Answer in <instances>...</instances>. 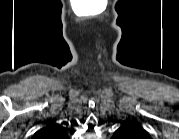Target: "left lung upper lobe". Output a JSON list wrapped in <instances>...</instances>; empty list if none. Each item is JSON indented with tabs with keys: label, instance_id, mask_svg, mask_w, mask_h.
I'll list each match as a JSON object with an SVG mask.
<instances>
[{
	"label": "left lung upper lobe",
	"instance_id": "5c2ea615",
	"mask_svg": "<svg viewBox=\"0 0 179 139\" xmlns=\"http://www.w3.org/2000/svg\"><path fill=\"white\" fill-rule=\"evenodd\" d=\"M121 132H125L127 134H130V135H141V136H147L148 137V134L147 132L140 126L136 125V124H132V123H129L123 127H121L119 129L118 132H116V134H119Z\"/></svg>",
	"mask_w": 179,
	"mask_h": 139
}]
</instances>
